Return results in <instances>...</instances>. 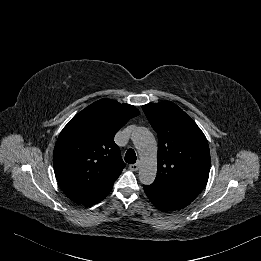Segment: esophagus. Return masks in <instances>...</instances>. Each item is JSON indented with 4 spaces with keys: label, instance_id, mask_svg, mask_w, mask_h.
Wrapping results in <instances>:
<instances>
[{
    "label": "esophagus",
    "instance_id": "esophagus-1",
    "mask_svg": "<svg viewBox=\"0 0 261 261\" xmlns=\"http://www.w3.org/2000/svg\"><path fill=\"white\" fill-rule=\"evenodd\" d=\"M138 168H139V162H137V163H135V164L129 165V169H130L131 171H137Z\"/></svg>",
    "mask_w": 261,
    "mask_h": 261
}]
</instances>
